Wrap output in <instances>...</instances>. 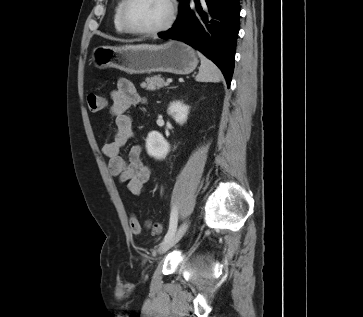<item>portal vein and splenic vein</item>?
<instances>
[{"label":"portal vein and splenic vein","mask_w":363,"mask_h":317,"mask_svg":"<svg viewBox=\"0 0 363 317\" xmlns=\"http://www.w3.org/2000/svg\"><path fill=\"white\" fill-rule=\"evenodd\" d=\"M172 82V79L171 78H168L167 79V84H170Z\"/></svg>","instance_id":"obj_1"}]
</instances>
